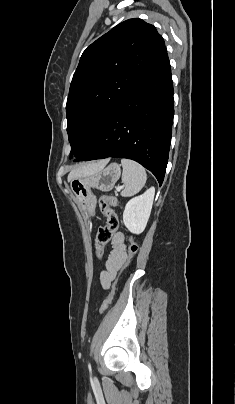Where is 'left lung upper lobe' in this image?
<instances>
[{
    "instance_id": "left-lung-upper-lobe-1",
    "label": "left lung upper lobe",
    "mask_w": 235,
    "mask_h": 404,
    "mask_svg": "<svg viewBox=\"0 0 235 404\" xmlns=\"http://www.w3.org/2000/svg\"><path fill=\"white\" fill-rule=\"evenodd\" d=\"M156 28L134 18L101 36L83 52L66 104L71 156L76 161L95 141L135 85L166 54ZM87 128L94 129L85 136Z\"/></svg>"
}]
</instances>
